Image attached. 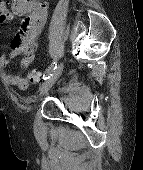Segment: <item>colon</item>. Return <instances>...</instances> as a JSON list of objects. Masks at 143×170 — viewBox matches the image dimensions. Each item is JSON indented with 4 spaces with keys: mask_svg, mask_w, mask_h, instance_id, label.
Returning <instances> with one entry per match:
<instances>
[{
    "mask_svg": "<svg viewBox=\"0 0 143 170\" xmlns=\"http://www.w3.org/2000/svg\"><path fill=\"white\" fill-rule=\"evenodd\" d=\"M28 81L32 84H37L41 81V74L40 72L33 70L28 75Z\"/></svg>",
    "mask_w": 143,
    "mask_h": 170,
    "instance_id": "5ec220e1",
    "label": "colon"
}]
</instances>
